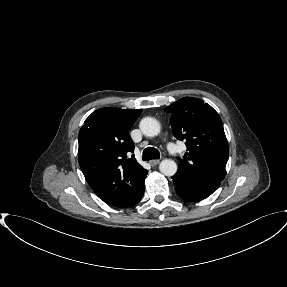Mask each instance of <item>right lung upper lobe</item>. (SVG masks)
<instances>
[{"mask_svg": "<svg viewBox=\"0 0 287 287\" xmlns=\"http://www.w3.org/2000/svg\"><path fill=\"white\" fill-rule=\"evenodd\" d=\"M141 109L101 108L79 132L78 161L83 175L105 203L123 208L142 187L147 170L135 159L129 130Z\"/></svg>", "mask_w": 287, "mask_h": 287, "instance_id": "cb5924a9", "label": "right lung upper lobe"}]
</instances>
